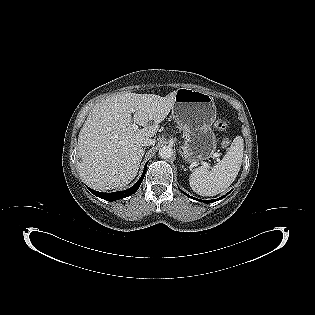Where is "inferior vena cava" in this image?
I'll use <instances>...</instances> for the list:
<instances>
[{
    "mask_svg": "<svg viewBox=\"0 0 315 315\" xmlns=\"http://www.w3.org/2000/svg\"><path fill=\"white\" fill-rule=\"evenodd\" d=\"M155 143H156V141L154 139H150V138H144L142 141L143 146H150V145H154Z\"/></svg>",
    "mask_w": 315,
    "mask_h": 315,
    "instance_id": "inferior-vena-cava-1",
    "label": "inferior vena cava"
}]
</instances>
